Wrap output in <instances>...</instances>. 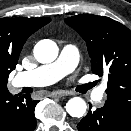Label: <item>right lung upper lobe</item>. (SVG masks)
<instances>
[{
  "label": "right lung upper lobe",
  "instance_id": "obj_1",
  "mask_svg": "<svg viewBox=\"0 0 131 131\" xmlns=\"http://www.w3.org/2000/svg\"><path fill=\"white\" fill-rule=\"evenodd\" d=\"M50 21V18L0 19V74H10L27 38Z\"/></svg>",
  "mask_w": 131,
  "mask_h": 131
}]
</instances>
